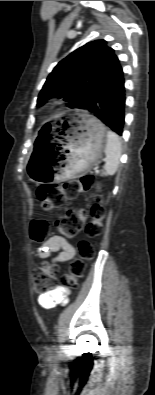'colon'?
<instances>
[{"label": "colon", "instance_id": "1", "mask_svg": "<svg viewBox=\"0 0 155 395\" xmlns=\"http://www.w3.org/2000/svg\"><path fill=\"white\" fill-rule=\"evenodd\" d=\"M94 183L92 175H82L79 178L64 181L58 184H44L37 190V197L43 210L52 211L62 206L67 200L76 198L80 193L88 191ZM101 197L87 212L84 209L68 210L57 222L59 233L68 238L75 237L84 230L90 238L98 237L103 231L106 215ZM87 217L89 220L86 222ZM47 234V223L43 220H33L30 225V237L36 243L42 242ZM79 258L72 261L68 272L63 277V288H74L84 270V263L94 257L93 244L82 240L78 245ZM57 268L48 263H43L33 272L34 289L37 293L50 291L56 282Z\"/></svg>", "mask_w": 155, "mask_h": 395}]
</instances>
